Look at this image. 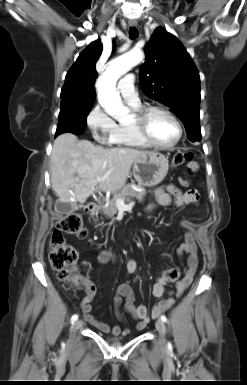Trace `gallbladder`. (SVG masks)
<instances>
[{
  "instance_id": "1",
  "label": "gallbladder",
  "mask_w": 247,
  "mask_h": 385,
  "mask_svg": "<svg viewBox=\"0 0 247 385\" xmlns=\"http://www.w3.org/2000/svg\"><path fill=\"white\" fill-rule=\"evenodd\" d=\"M79 207H83V205H77L76 203H73V202L64 203L59 200H57L55 203V211L62 215L71 214L75 210H77Z\"/></svg>"
}]
</instances>
